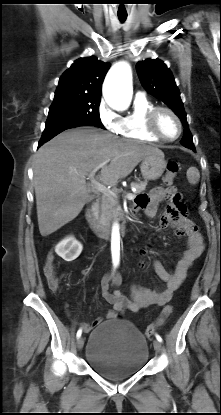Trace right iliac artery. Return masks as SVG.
<instances>
[{
    "label": "right iliac artery",
    "instance_id": "obj_1",
    "mask_svg": "<svg viewBox=\"0 0 221 415\" xmlns=\"http://www.w3.org/2000/svg\"><path fill=\"white\" fill-rule=\"evenodd\" d=\"M81 334H82V329H79V330L77 331V334H76L77 338H79V337L81 336Z\"/></svg>",
    "mask_w": 221,
    "mask_h": 415
}]
</instances>
